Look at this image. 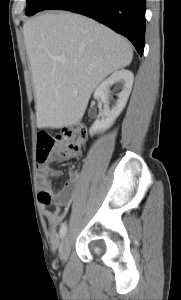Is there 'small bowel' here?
Instances as JSON below:
<instances>
[{
  "mask_svg": "<svg viewBox=\"0 0 181 300\" xmlns=\"http://www.w3.org/2000/svg\"><path fill=\"white\" fill-rule=\"evenodd\" d=\"M56 160L57 157L52 154L48 160L40 163L37 176L38 201L43 207L44 216L54 227L61 223L63 214L70 208L79 188L78 179L72 177L62 189H53L51 178L62 174L60 170L50 166V163Z\"/></svg>",
  "mask_w": 181,
  "mask_h": 300,
  "instance_id": "small-bowel-1",
  "label": "small bowel"
}]
</instances>
